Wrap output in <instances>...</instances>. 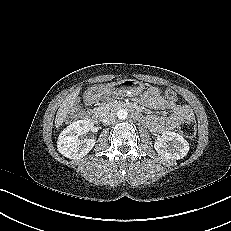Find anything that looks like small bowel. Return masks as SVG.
Returning <instances> with one entry per match:
<instances>
[{
    "mask_svg": "<svg viewBox=\"0 0 231 231\" xmlns=\"http://www.w3.org/2000/svg\"><path fill=\"white\" fill-rule=\"evenodd\" d=\"M141 103L151 109L168 110L171 112L169 116H147L143 118V123L157 133L174 130L180 122L193 120L194 118L189 106L176 104L173 101L163 98L156 87L148 89L143 94Z\"/></svg>",
    "mask_w": 231,
    "mask_h": 231,
    "instance_id": "small-bowel-1",
    "label": "small bowel"
}]
</instances>
